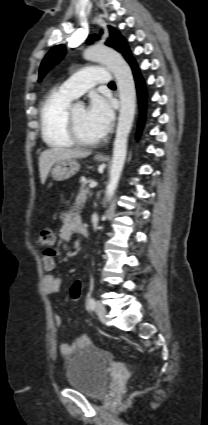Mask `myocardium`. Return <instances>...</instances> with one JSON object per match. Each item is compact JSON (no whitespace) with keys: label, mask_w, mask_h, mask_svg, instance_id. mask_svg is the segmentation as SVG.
Returning <instances> with one entry per match:
<instances>
[{"label":"myocardium","mask_w":208,"mask_h":425,"mask_svg":"<svg viewBox=\"0 0 208 425\" xmlns=\"http://www.w3.org/2000/svg\"><path fill=\"white\" fill-rule=\"evenodd\" d=\"M66 124H67L69 137L75 145L82 146V147H92V146L98 145L101 142L100 138L96 140H85L84 138L81 137L74 119L72 107H70L67 111Z\"/></svg>","instance_id":"f54148a6"}]
</instances>
